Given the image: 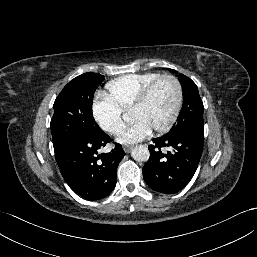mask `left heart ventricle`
I'll use <instances>...</instances> for the list:
<instances>
[{
	"label": "left heart ventricle",
	"instance_id": "b2bd125f",
	"mask_svg": "<svg viewBox=\"0 0 257 257\" xmlns=\"http://www.w3.org/2000/svg\"><path fill=\"white\" fill-rule=\"evenodd\" d=\"M176 102V89L170 80L161 81L148 101L138 110L130 113L133 121L143 120L152 130L167 122Z\"/></svg>",
	"mask_w": 257,
	"mask_h": 257
}]
</instances>
